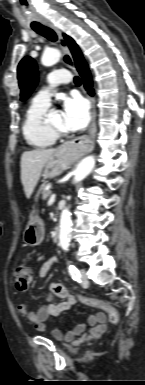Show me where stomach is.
Segmentation results:
<instances>
[{"label":"stomach","instance_id":"stomach-1","mask_svg":"<svg viewBox=\"0 0 145 385\" xmlns=\"http://www.w3.org/2000/svg\"><path fill=\"white\" fill-rule=\"evenodd\" d=\"M75 161V154L68 150L66 145L61 146L49 158L44 165L42 176L44 179L54 178L68 169ZM45 229L42 220L32 215L24 231V242L29 246H37L42 243Z\"/></svg>","mask_w":145,"mask_h":385}]
</instances>
